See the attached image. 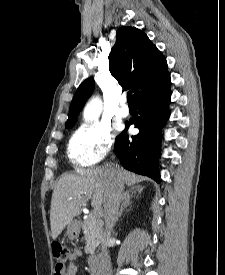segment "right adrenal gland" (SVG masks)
Returning a JSON list of instances; mask_svg holds the SVG:
<instances>
[{
  "instance_id": "2a0ac1e0",
  "label": "right adrenal gland",
  "mask_w": 225,
  "mask_h": 275,
  "mask_svg": "<svg viewBox=\"0 0 225 275\" xmlns=\"http://www.w3.org/2000/svg\"><path fill=\"white\" fill-rule=\"evenodd\" d=\"M137 192H138V195H137V198H138L139 194H141V192H142V188L137 189V190H128V191H126L124 200H123L122 205H121V209L118 213L117 220L122 216L123 211L125 210V208H127L131 204V199L134 197V194H136Z\"/></svg>"
}]
</instances>
